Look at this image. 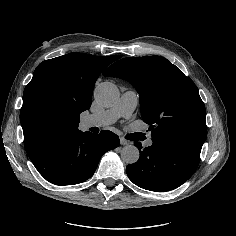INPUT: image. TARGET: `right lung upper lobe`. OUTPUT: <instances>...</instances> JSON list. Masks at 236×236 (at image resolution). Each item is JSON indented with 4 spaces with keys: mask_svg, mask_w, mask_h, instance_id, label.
I'll use <instances>...</instances> for the list:
<instances>
[{
    "mask_svg": "<svg viewBox=\"0 0 236 236\" xmlns=\"http://www.w3.org/2000/svg\"><path fill=\"white\" fill-rule=\"evenodd\" d=\"M118 58L120 56L100 57L85 53H69L45 60L38 65L32 80L25 87L20 114L25 149L34 166L39 164L57 143L79 132V115L91 106L96 79ZM39 96L53 97L66 109V125L56 135L39 134L28 122L27 109Z\"/></svg>",
    "mask_w": 236,
    "mask_h": 236,
    "instance_id": "right-lung-upper-lobe-1",
    "label": "right lung upper lobe"
}]
</instances>
